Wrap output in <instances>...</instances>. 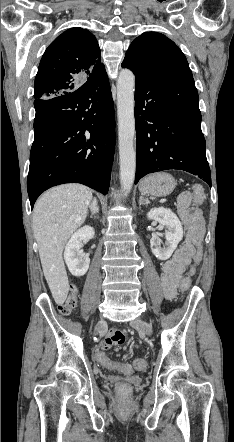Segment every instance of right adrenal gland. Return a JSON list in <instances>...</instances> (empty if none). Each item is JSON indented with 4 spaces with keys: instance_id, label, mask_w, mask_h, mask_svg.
<instances>
[{
    "instance_id": "right-adrenal-gland-1",
    "label": "right adrenal gland",
    "mask_w": 234,
    "mask_h": 442,
    "mask_svg": "<svg viewBox=\"0 0 234 442\" xmlns=\"http://www.w3.org/2000/svg\"><path fill=\"white\" fill-rule=\"evenodd\" d=\"M90 210H91L90 218H95V216L99 213L98 201L96 197L93 198V201L90 205Z\"/></svg>"
}]
</instances>
